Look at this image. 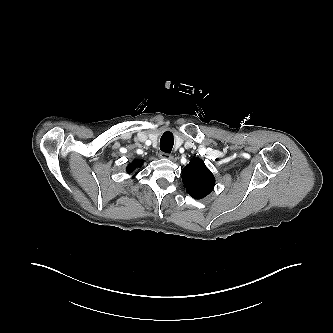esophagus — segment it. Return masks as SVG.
Returning a JSON list of instances; mask_svg holds the SVG:
<instances>
[{"instance_id":"1","label":"esophagus","mask_w":333,"mask_h":333,"mask_svg":"<svg viewBox=\"0 0 333 333\" xmlns=\"http://www.w3.org/2000/svg\"><path fill=\"white\" fill-rule=\"evenodd\" d=\"M160 158L162 159H168V160H172L173 159V156L169 153H165V152H161L159 154Z\"/></svg>"}]
</instances>
